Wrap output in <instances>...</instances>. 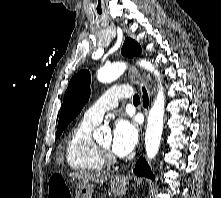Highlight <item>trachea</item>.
Wrapping results in <instances>:
<instances>
[{"instance_id":"trachea-1","label":"trachea","mask_w":221,"mask_h":198,"mask_svg":"<svg viewBox=\"0 0 221 198\" xmlns=\"http://www.w3.org/2000/svg\"><path fill=\"white\" fill-rule=\"evenodd\" d=\"M140 102V97L138 95H134L133 103L138 104Z\"/></svg>"}]
</instances>
